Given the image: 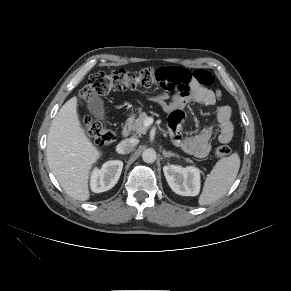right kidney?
<instances>
[{
  "instance_id": "obj_1",
  "label": "right kidney",
  "mask_w": 291,
  "mask_h": 291,
  "mask_svg": "<svg viewBox=\"0 0 291 291\" xmlns=\"http://www.w3.org/2000/svg\"><path fill=\"white\" fill-rule=\"evenodd\" d=\"M123 168V162L112 160L103 164L101 169H94L91 175V189L95 193L110 190L118 182Z\"/></svg>"
}]
</instances>
